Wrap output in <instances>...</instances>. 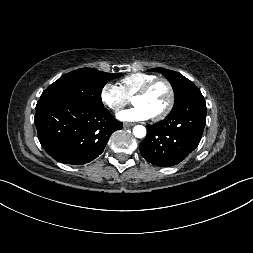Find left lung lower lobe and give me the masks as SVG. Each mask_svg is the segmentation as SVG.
<instances>
[{
  "instance_id": "0a47b994",
  "label": "left lung lower lobe",
  "mask_w": 253,
  "mask_h": 253,
  "mask_svg": "<svg viewBox=\"0 0 253 253\" xmlns=\"http://www.w3.org/2000/svg\"><path fill=\"white\" fill-rule=\"evenodd\" d=\"M205 124L206 104L196 87L164 120L147 126L140 153L153 165L174 166L198 146Z\"/></svg>"
}]
</instances>
